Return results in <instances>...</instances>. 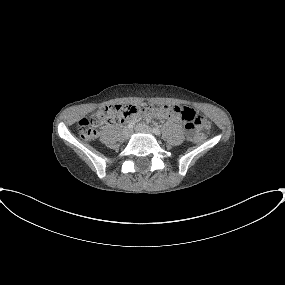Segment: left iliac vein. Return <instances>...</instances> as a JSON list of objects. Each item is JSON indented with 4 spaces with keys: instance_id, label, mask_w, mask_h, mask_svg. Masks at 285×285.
Listing matches in <instances>:
<instances>
[{
    "instance_id": "left-iliac-vein-1",
    "label": "left iliac vein",
    "mask_w": 285,
    "mask_h": 285,
    "mask_svg": "<svg viewBox=\"0 0 285 285\" xmlns=\"http://www.w3.org/2000/svg\"><path fill=\"white\" fill-rule=\"evenodd\" d=\"M135 131H138V132H145V133H152V129L145 125V124H139V125H136L135 126Z\"/></svg>"
}]
</instances>
